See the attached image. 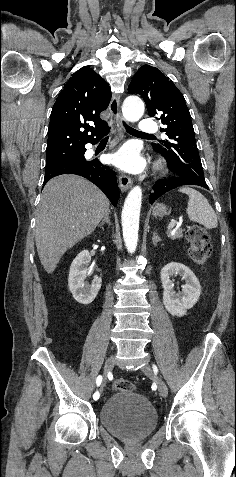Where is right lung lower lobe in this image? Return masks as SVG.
<instances>
[{"label": "right lung lower lobe", "instance_id": "right-lung-lower-lobe-1", "mask_svg": "<svg viewBox=\"0 0 236 477\" xmlns=\"http://www.w3.org/2000/svg\"><path fill=\"white\" fill-rule=\"evenodd\" d=\"M108 132L109 129L105 134ZM98 141L99 140L93 143L95 144ZM85 151L86 149H84L82 153L84 154ZM62 174H75L87 178L106 194L114 206L117 205L119 189L117 188L115 172L109 167L104 166L99 160H85L83 162L68 163L46 168L44 184H46L51 178Z\"/></svg>", "mask_w": 236, "mask_h": 477}]
</instances>
